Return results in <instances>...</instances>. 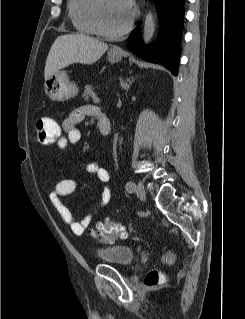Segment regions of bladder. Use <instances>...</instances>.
<instances>
[{
  "instance_id": "31cf9c89",
  "label": "bladder",
  "mask_w": 245,
  "mask_h": 319,
  "mask_svg": "<svg viewBox=\"0 0 245 319\" xmlns=\"http://www.w3.org/2000/svg\"><path fill=\"white\" fill-rule=\"evenodd\" d=\"M96 256L102 262L129 265L133 260L134 252L130 246L117 244L98 249Z\"/></svg>"
}]
</instances>
